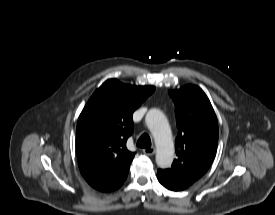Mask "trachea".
Here are the masks:
<instances>
[{
    "label": "trachea",
    "instance_id": "3493384b",
    "mask_svg": "<svg viewBox=\"0 0 275 215\" xmlns=\"http://www.w3.org/2000/svg\"><path fill=\"white\" fill-rule=\"evenodd\" d=\"M137 146L140 148H150L151 147V139L147 133H144L140 136L137 141Z\"/></svg>",
    "mask_w": 275,
    "mask_h": 215
}]
</instances>
